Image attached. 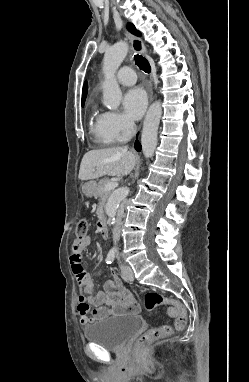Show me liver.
Returning a JSON list of instances; mask_svg holds the SVG:
<instances>
[{
	"label": "liver",
	"instance_id": "liver-1",
	"mask_svg": "<svg viewBox=\"0 0 249 382\" xmlns=\"http://www.w3.org/2000/svg\"><path fill=\"white\" fill-rule=\"evenodd\" d=\"M137 162V155L122 147L91 150L81 161L79 179L91 180L110 176H124L131 173Z\"/></svg>",
	"mask_w": 249,
	"mask_h": 382
}]
</instances>
